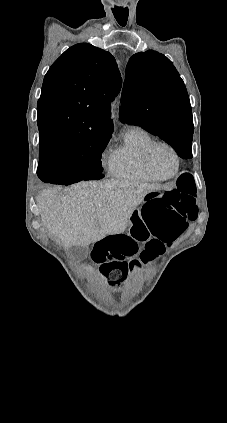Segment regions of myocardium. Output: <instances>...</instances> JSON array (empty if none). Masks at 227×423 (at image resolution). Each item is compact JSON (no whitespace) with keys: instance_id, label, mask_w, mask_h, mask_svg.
<instances>
[{"instance_id":"1","label":"myocardium","mask_w":227,"mask_h":423,"mask_svg":"<svg viewBox=\"0 0 227 423\" xmlns=\"http://www.w3.org/2000/svg\"><path fill=\"white\" fill-rule=\"evenodd\" d=\"M158 146H162V147L169 149L174 156L175 170L169 176L158 175L153 170V168L151 166L150 155H151L153 149L158 147ZM142 165H143L145 171L147 172V174L150 175L152 178L159 180V181H168V180L175 178L178 175V173L180 171V167H181V159H180L178 151L170 143L165 142V141H151L149 144H147L145 146V148L142 151Z\"/></svg>"}]
</instances>
